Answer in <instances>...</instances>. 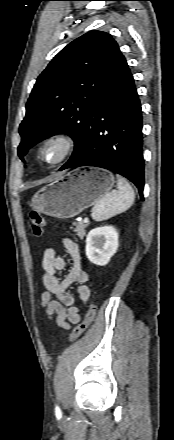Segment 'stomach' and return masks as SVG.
Masks as SVG:
<instances>
[{
  "label": "stomach",
  "instance_id": "1",
  "mask_svg": "<svg viewBox=\"0 0 174 440\" xmlns=\"http://www.w3.org/2000/svg\"><path fill=\"white\" fill-rule=\"evenodd\" d=\"M115 183L111 172L77 168L41 188L32 197L36 211L59 219L77 216L109 193Z\"/></svg>",
  "mask_w": 174,
  "mask_h": 440
}]
</instances>
